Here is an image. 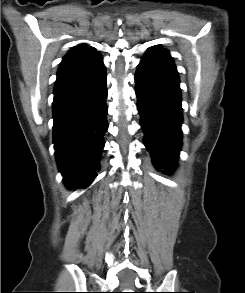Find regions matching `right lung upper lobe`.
Wrapping results in <instances>:
<instances>
[{
  "mask_svg": "<svg viewBox=\"0 0 245 293\" xmlns=\"http://www.w3.org/2000/svg\"><path fill=\"white\" fill-rule=\"evenodd\" d=\"M102 67V56L93 47L85 44L73 47L60 64L54 92L93 75Z\"/></svg>",
  "mask_w": 245,
  "mask_h": 293,
  "instance_id": "right-lung-upper-lobe-1",
  "label": "right lung upper lobe"
}]
</instances>
